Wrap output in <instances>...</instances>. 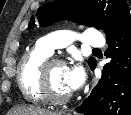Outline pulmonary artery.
<instances>
[{
	"label": "pulmonary artery",
	"mask_w": 131,
	"mask_h": 115,
	"mask_svg": "<svg viewBox=\"0 0 131 115\" xmlns=\"http://www.w3.org/2000/svg\"><path fill=\"white\" fill-rule=\"evenodd\" d=\"M74 34L69 31H57L42 37L38 41V46L52 54L55 48H61L73 39ZM82 43L91 47H103L105 41L100 31L96 29H86L80 36Z\"/></svg>",
	"instance_id": "obj_1"
}]
</instances>
